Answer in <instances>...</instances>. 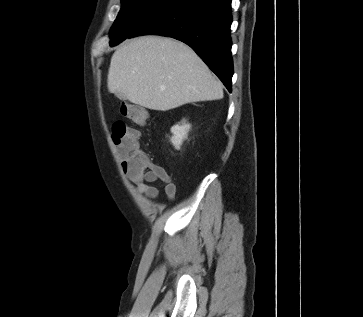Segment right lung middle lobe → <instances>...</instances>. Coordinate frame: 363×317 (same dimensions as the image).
<instances>
[{
  "label": "right lung middle lobe",
  "instance_id": "right-lung-middle-lobe-1",
  "mask_svg": "<svg viewBox=\"0 0 363 317\" xmlns=\"http://www.w3.org/2000/svg\"><path fill=\"white\" fill-rule=\"evenodd\" d=\"M178 0H121V10L111 28L110 45L114 46L131 35L147 20Z\"/></svg>",
  "mask_w": 363,
  "mask_h": 317
}]
</instances>
